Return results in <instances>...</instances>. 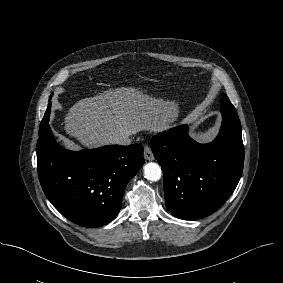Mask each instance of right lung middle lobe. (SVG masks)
<instances>
[{
    "label": "right lung middle lobe",
    "instance_id": "obj_1",
    "mask_svg": "<svg viewBox=\"0 0 283 283\" xmlns=\"http://www.w3.org/2000/svg\"><path fill=\"white\" fill-rule=\"evenodd\" d=\"M50 98H51V97H50ZM50 108H51V102H50V100H49V102H48V108H47V110H46V112H45V114H44V117H43L42 121H41L39 133H41L42 125L45 124V123H47V122L49 121V114H50V111H51Z\"/></svg>",
    "mask_w": 283,
    "mask_h": 283
}]
</instances>
